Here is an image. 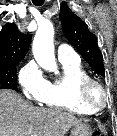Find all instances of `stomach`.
Returning a JSON list of instances; mask_svg holds the SVG:
<instances>
[{"instance_id": "stomach-1", "label": "stomach", "mask_w": 117, "mask_h": 136, "mask_svg": "<svg viewBox=\"0 0 117 136\" xmlns=\"http://www.w3.org/2000/svg\"><path fill=\"white\" fill-rule=\"evenodd\" d=\"M91 135L92 131L90 130V127L87 124L75 125L70 132V136H91Z\"/></svg>"}]
</instances>
